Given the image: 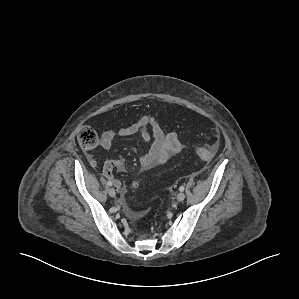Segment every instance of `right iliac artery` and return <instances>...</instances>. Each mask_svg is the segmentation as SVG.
Here are the masks:
<instances>
[{
    "instance_id": "obj_1",
    "label": "right iliac artery",
    "mask_w": 299,
    "mask_h": 299,
    "mask_svg": "<svg viewBox=\"0 0 299 299\" xmlns=\"http://www.w3.org/2000/svg\"><path fill=\"white\" fill-rule=\"evenodd\" d=\"M107 184H108V186H112L113 185V183L111 181H108Z\"/></svg>"
}]
</instances>
